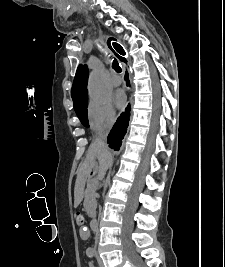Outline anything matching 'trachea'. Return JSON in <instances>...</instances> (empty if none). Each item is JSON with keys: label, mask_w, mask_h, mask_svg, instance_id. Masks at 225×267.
<instances>
[{"label": "trachea", "mask_w": 225, "mask_h": 267, "mask_svg": "<svg viewBox=\"0 0 225 267\" xmlns=\"http://www.w3.org/2000/svg\"><path fill=\"white\" fill-rule=\"evenodd\" d=\"M113 45H114V48L116 49V47H115L116 44L114 43ZM112 68H113L117 73L122 72V69H121V67L119 66V63H118V61H117L116 59L113 60Z\"/></svg>", "instance_id": "3493384b"}]
</instances>
